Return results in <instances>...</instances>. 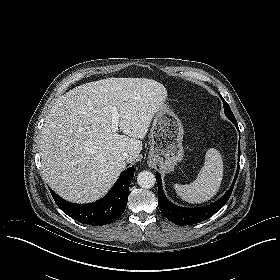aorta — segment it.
<instances>
[{"instance_id": "obj_1", "label": "aorta", "mask_w": 280, "mask_h": 280, "mask_svg": "<svg viewBox=\"0 0 280 280\" xmlns=\"http://www.w3.org/2000/svg\"><path fill=\"white\" fill-rule=\"evenodd\" d=\"M155 175L150 171H142L137 176V183L140 187L150 189L155 185Z\"/></svg>"}]
</instances>
